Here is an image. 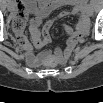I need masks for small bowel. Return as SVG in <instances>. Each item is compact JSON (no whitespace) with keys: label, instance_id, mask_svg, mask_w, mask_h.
<instances>
[{"label":"small bowel","instance_id":"obj_1","mask_svg":"<svg viewBox=\"0 0 103 103\" xmlns=\"http://www.w3.org/2000/svg\"><path fill=\"white\" fill-rule=\"evenodd\" d=\"M15 6L13 11L11 10L13 8L12 4L9 3L7 5L8 9L13 12L12 30L14 41L24 52L25 61L31 67L39 66L47 59H52L57 63H65L74 54L77 46L83 42L84 37L88 33L89 6L85 2H64L59 0L36 2L34 0H28L21 1L18 4L15 3ZM65 6L69 7V9L60 11L55 19L75 16L78 17V22L76 25L69 23L62 24V30L68 35L64 48L55 47L51 51L44 50L50 43L49 31L55 19L47 22L43 28H41L42 21L53 11ZM28 14H30L28 30L31 42L26 38L24 31L25 25L19 26L15 23L17 18H23L24 16H28Z\"/></svg>","mask_w":103,"mask_h":103}]
</instances>
